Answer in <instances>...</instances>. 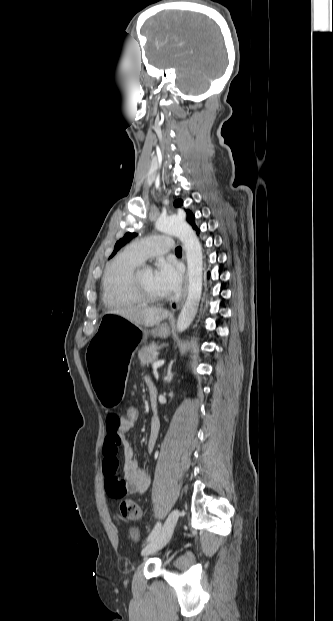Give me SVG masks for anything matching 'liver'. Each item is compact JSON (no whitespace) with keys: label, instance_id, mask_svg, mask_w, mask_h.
I'll use <instances>...</instances> for the list:
<instances>
[{"label":"liver","instance_id":"1","mask_svg":"<svg viewBox=\"0 0 333 621\" xmlns=\"http://www.w3.org/2000/svg\"><path fill=\"white\" fill-rule=\"evenodd\" d=\"M109 313H117L126 320L145 327L157 325L169 315V311L163 308H127L124 310H113Z\"/></svg>","mask_w":333,"mask_h":621}]
</instances>
